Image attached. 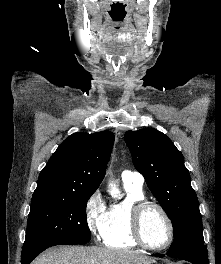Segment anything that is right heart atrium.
Here are the masks:
<instances>
[{
    "mask_svg": "<svg viewBox=\"0 0 221 264\" xmlns=\"http://www.w3.org/2000/svg\"><path fill=\"white\" fill-rule=\"evenodd\" d=\"M107 215V209L102 196L98 190L94 191L87 198L84 206L85 223L90 233L101 238Z\"/></svg>",
    "mask_w": 221,
    "mask_h": 264,
    "instance_id": "d8ad5b80",
    "label": "right heart atrium"
}]
</instances>
